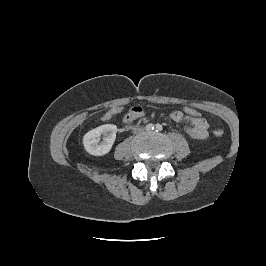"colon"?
<instances>
[{
    "instance_id": "5ec220e1",
    "label": "colon",
    "mask_w": 266,
    "mask_h": 266,
    "mask_svg": "<svg viewBox=\"0 0 266 266\" xmlns=\"http://www.w3.org/2000/svg\"><path fill=\"white\" fill-rule=\"evenodd\" d=\"M184 115L188 116V117H191V118H201V113L200 111L195 108L194 106H184L182 111H181ZM128 114H129V111L126 113L125 115V119L128 118ZM223 130L222 129H216L214 131V134L218 137L222 136L223 135Z\"/></svg>"
}]
</instances>
